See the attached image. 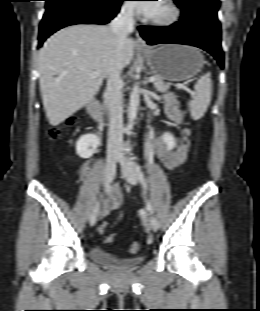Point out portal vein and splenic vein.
<instances>
[{"label": "portal vein and splenic vein", "mask_w": 260, "mask_h": 311, "mask_svg": "<svg viewBox=\"0 0 260 311\" xmlns=\"http://www.w3.org/2000/svg\"><path fill=\"white\" fill-rule=\"evenodd\" d=\"M100 74V71H94L93 73H91V77H96ZM149 81L150 82H154L155 81V78L152 76L149 78Z\"/></svg>", "instance_id": "1"}]
</instances>
